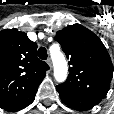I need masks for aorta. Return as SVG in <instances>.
Here are the masks:
<instances>
[{
	"mask_svg": "<svg viewBox=\"0 0 114 114\" xmlns=\"http://www.w3.org/2000/svg\"><path fill=\"white\" fill-rule=\"evenodd\" d=\"M52 61L54 65V77L57 82H64L67 78L68 66L64 55L59 52H52Z\"/></svg>",
	"mask_w": 114,
	"mask_h": 114,
	"instance_id": "aorta-1",
	"label": "aorta"
}]
</instances>
